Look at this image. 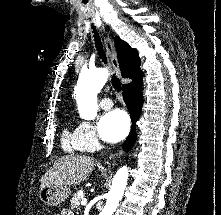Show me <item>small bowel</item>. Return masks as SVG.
I'll return each instance as SVG.
<instances>
[{
  "label": "small bowel",
  "mask_w": 221,
  "mask_h": 215,
  "mask_svg": "<svg viewBox=\"0 0 221 215\" xmlns=\"http://www.w3.org/2000/svg\"><path fill=\"white\" fill-rule=\"evenodd\" d=\"M61 215H73V213H72L69 209H64V210L61 212Z\"/></svg>",
  "instance_id": "c3829d8e"
}]
</instances>
